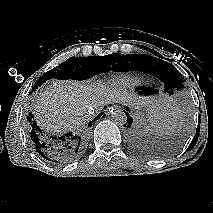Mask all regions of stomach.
<instances>
[{
    "label": "stomach",
    "instance_id": "obj_1",
    "mask_svg": "<svg viewBox=\"0 0 213 213\" xmlns=\"http://www.w3.org/2000/svg\"><path fill=\"white\" fill-rule=\"evenodd\" d=\"M159 111L160 110L154 104L142 103L136 107L135 113L141 123L149 125L155 121V118Z\"/></svg>",
    "mask_w": 213,
    "mask_h": 213
}]
</instances>
